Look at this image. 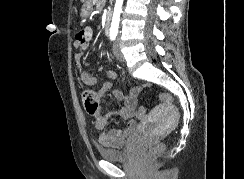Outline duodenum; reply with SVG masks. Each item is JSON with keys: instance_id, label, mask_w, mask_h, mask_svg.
I'll use <instances>...</instances> for the list:
<instances>
[{"instance_id": "410a0bca", "label": "duodenum", "mask_w": 244, "mask_h": 179, "mask_svg": "<svg viewBox=\"0 0 244 179\" xmlns=\"http://www.w3.org/2000/svg\"><path fill=\"white\" fill-rule=\"evenodd\" d=\"M110 13H106L104 16V22H103V27H104V32L108 33L110 29Z\"/></svg>"}]
</instances>
